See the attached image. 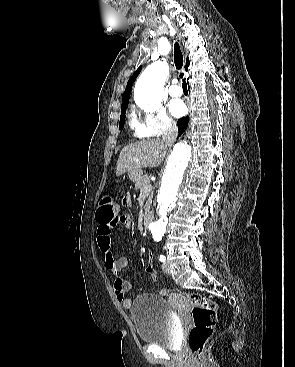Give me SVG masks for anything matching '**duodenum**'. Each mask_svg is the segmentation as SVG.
Wrapping results in <instances>:
<instances>
[{
  "label": "duodenum",
  "mask_w": 295,
  "mask_h": 367,
  "mask_svg": "<svg viewBox=\"0 0 295 367\" xmlns=\"http://www.w3.org/2000/svg\"><path fill=\"white\" fill-rule=\"evenodd\" d=\"M153 220V215L151 213H146L143 218V226L145 228H148Z\"/></svg>",
  "instance_id": "obj_1"
}]
</instances>
